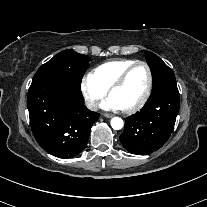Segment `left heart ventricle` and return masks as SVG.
Instances as JSON below:
<instances>
[{
    "mask_svg": "<svg viewBox=\"0 0 207 207\" xmlns=\"http://www.w3.org/2000/svg\"><path fill=\"white\" fill-rule=\"evenodd\" d=\"M147 82L148 77L144 66H136L128 75L125 83L111 95V98L120 109L129 108L140 101L146 90Z\"/></svg>",
    "mask_w": 207,
    "mask_h": 207,
    "instance_id": "left-heart-ventricle-1",
    "label": "left heart ventricle"
}]
</instances>
